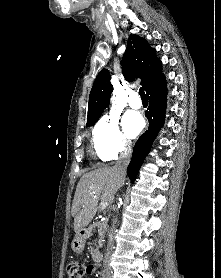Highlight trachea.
<instances>
[{"label": "trachea", "mask_w": 221, "mask_h": 278, "mask_svg": "<svg viewBox=\"0 0 221 278\" xmlns=\"http://www.w3.org/2000/svg\"><path fill=\"white\" fill-rule=\"evenodd\" d=\"M139 95L141 97L142 100H148L144 90L142 88L139 89Z\"/></svg>", "instance_id": "1"}]
</instances>
